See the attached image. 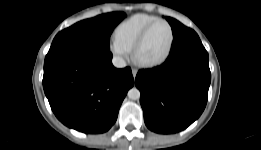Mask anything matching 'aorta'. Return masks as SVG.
I'll list each match as a JSON object with an SVG mask.
<instances>
[{"mask_svg": "<svg viewBox=\"0 0 261 150\" xmlns=\"http://www.w3.org/2000/svg\"><path fill=\"white\" fill-rule=\"evenodd\" d=\"M129 99L131 100H138L140 98V91L136 88V87H133L131 88L128 93H127Z\"/></svg>", "mask_w": 261, "mask_h": 150, "instance_id": "762f6f07", "label": "aorta"}]
</instances>
